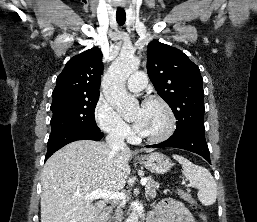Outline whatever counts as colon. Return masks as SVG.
I'll list each match as a JSON object with an SVG mask.
<instances>
[{"label": "colon", "instance_id": "1", "mask_svg": "<svg viewBox=\"0 0 257 222\" xmlns=\"http://www.w3.org/2000/svg\"><path fill=\"white\" fill-rule=\"evenodd\" d=\"M180 196L187 202L193 203V198L190 193L185 190L179 191ZM204 220H206V216L204 214L201 215Z\"/></svg>", "mask_w": 257, "mask_h": 222}]
</instances>
